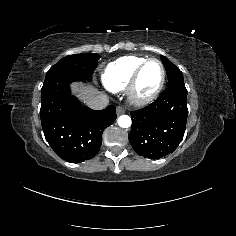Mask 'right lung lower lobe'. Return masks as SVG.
I'll return each instance as SVG.
<instances>
[{"label": "right lung lower lobe", "instance_id": "obj_1", "mask_svg": "<svg viewBox=\"0 0 236 236\" xmlns=\"http://www.w3.org/2000/svg\"><path fill=\"white\" fill-rule=\"evenodd\" d=\"M85 80L75 74L57 75L45 80L41 89L44 136L60 158L72 163L93 158L100 149L103 131L117 118L114 105L96 111L81 106L71 96L69 84Z\"/></svg>", "mask_w": 236, "mask_h": 236}]
</instances>
